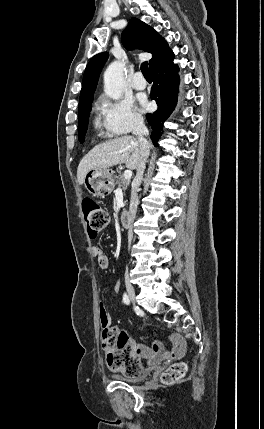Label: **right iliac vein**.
<instances>
[{
	"label": "right iliac vein",
	"instance_id": "obj_1",
	"mask_svg": "<svg viewBox=\"0 0 264 429\" xmlns=\"http://www.w3.org/2000/svg\"><path fill=\"white\" fill-rule=\"evenodd\" d=\"M125 284H126V290H127V293L129 295L130 299L133 302H135V299H136L135 290H134L133 285L130 282V279H129L128 275L125 276Z\"/></svg>",
	"mask_w": 264,
	"mask_h": 429
}]
</instances>
